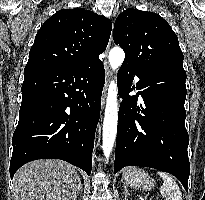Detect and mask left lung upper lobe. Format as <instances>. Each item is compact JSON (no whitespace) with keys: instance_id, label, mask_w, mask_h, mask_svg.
Returning <instances> with one entry per match:
<instances>
[{"instance_id":"5c2ea615","label":"left lung upper lobe","mask_w":205,"mask_h":200,"mask_svg":"<svg viewBox=\"0 0 205 200\" xmlns=\"http://www.w3.org/2000/svg\"><path fill=\"white\" fill-rule=\"evenodd\" d=\"M114 42L125 52L122 67L136 72L183 67V53L170 25L158 14L129 8L114 24Z\"/></svg>"}]
</instances>
